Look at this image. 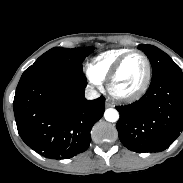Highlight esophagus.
Wrapping results in <instances>:
<instances>
[{
    "label": "esophagus",
    "mask_w": 183,
    "mask_h": 183,
    "mask_svg": "<svg viewBox=\"0 0 183 183\" xmlns=\"http://www.w3.org/2000/svg\"><path fill=\"white\" fill-rule=\"evenodd\" d=\"M105 106L106 107H111L112 106V103L109 101V99L106 100Z\"/></svg>",
    "instance_id": "34e87169"
}]
</instances>
